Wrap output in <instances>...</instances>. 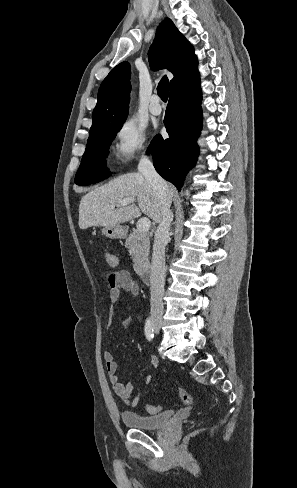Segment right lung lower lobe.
<instances>
[{"label":"right lung lower lobe","instance_id":"right-lung-lower-lobe-1","mask_svg":"<svg viewBox=\"0 0 297 488\" xmlns=\"http://www.w3.org/2000/svg\"><path fill=\"white\" fill-rule=\"evenodd\" d=\"M201 100L199 76L172 89L164 118L169 138L155 136L147 150L157 172L179 191L199 152Z\"/></svg>","mask_w":297,"mask_h":488}]
</instances>
